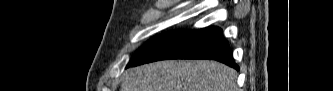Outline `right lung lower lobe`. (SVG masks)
Wrapping results in <instances>:
<instances>
[{"label": "right lung lower lobe", "mask_w": 333, "mask_h": 91, "mask_svg": "<svg viewBox=\"0 0 333 91\" xmlns=\"http://www.w3.org/2000/svg\"><path fill=\"white\" fill-rule=\"evenodd\" d=\"M221 32L218 27L178 30L130 66L165 59H211L238 70Z\"/></svg>", "instance_id": "1"}]
</instances>
